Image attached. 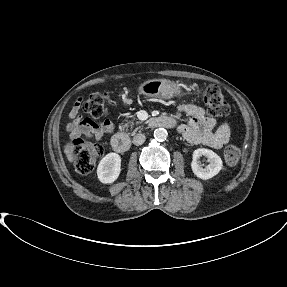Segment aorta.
Segmentation results:
<instances>
[{
  "label": "aorta",
  "mask_w": 287,
  "mask_h": 287,
  "mask_svg": "<svg viewBox=\"0 0 287 287\" xmlns=\"http://www.w3.org/2000/svg\"><path fill=\"white\" fill-rule=\"evenodd\" d=\"M168 132L164 128H157L154 131V138L158 141H164L167 139Z\"/></svg>",
  "instance_id": "762f6f07"
}]
</instances>
